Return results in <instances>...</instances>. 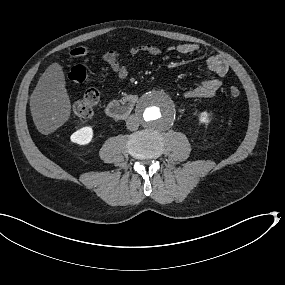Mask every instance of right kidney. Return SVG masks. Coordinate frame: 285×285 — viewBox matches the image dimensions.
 <instances>
[{"mask_svg":"<svg viewBox=\"0 0 285 285\" xmlns=\"http://www.w3.org/2000/svg\"><path fill=\"white\" fill-rule=\"evenodd\" d=\"M93 137V130L91 127H83L76 132H74L70 139L72 142L77 143L79 145L88 144Z\"/></svg>","mask_w":285,"mask_h":285,"instance_id":"right-kidney-1","label":"right kidney"}]
</instances>
